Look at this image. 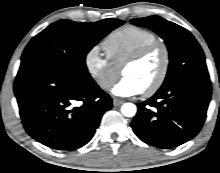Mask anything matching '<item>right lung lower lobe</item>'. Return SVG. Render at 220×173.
<instances>
[{
  "mask_svg": "<svg viewBox=\"0 0 220 173\" xmlns=\"http://www.w3.org/2000/svg\"><path fill=\"white\" fill-rule=\"evenodd\" d=\"M14 90L27 133L56 150L88 143L112 107L110 96L92 78L74 79L54 70H19Z\"/></svg>",
  "mask_w": 220,
  "mask_h": 173,
  "instance_id": "1",
  "label": "right lung lower lobe"
}]
</instances>
